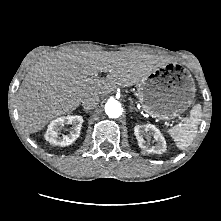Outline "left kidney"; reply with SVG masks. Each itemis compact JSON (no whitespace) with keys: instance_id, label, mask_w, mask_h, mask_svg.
Returning <instances> with one entry per match:
<instances>
[{"instance_id":"1","label":"left kidney","mask_w":221,"mask_h":221,"mask_svg":"<svg viewBox=\"0 0 221 221\" xmlns=\"http://www.w3.org/2000/svg\"><path fill=\"white\" fill-rule=\"evenodd\" d=\"M134 134L138 141L139 147L144 151L158 154L164 153L166 151L167 146L165 138L156 126L152 124L136 125L134 127ZM144 135L153 136L156 144L151 146L149 143H146L143 137Z\"/></svg>"}]
</instances>
